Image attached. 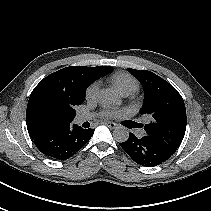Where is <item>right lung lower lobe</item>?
<instances>
[{
    "instance_id": "98d812e1",
    "label": "right lung lower lobe",
    "mask_w": 211,
    "mask_h": 211,
    "mask_svg": "<svg viewBox=\"0 0 211 211\" xmlns=\"http://www.w3.org/2000/svg\"><path fill=\"white\" fill-rule=\"evenodd\" d=\"M94 129L77 124L57 126L33 139L41 153L51 159L66 160L76 154L92 137Z\"/></svg>"
}]
</instances>
